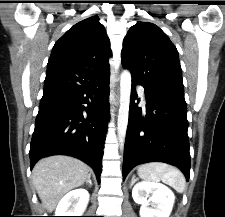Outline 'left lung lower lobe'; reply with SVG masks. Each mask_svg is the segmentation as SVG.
Listing matches in <instances>:
<instances>
[{"label":"left lung lower lobe","mask_w":225,"mask_h":217,"mask_svg":"<svg viewBox=\"0 0 225 217\" xmlns=\"http://www.w3.org/2000/svg\"><path fill=\"white\" fill-rule=\"evenodd\" d=\"M136 84L132 81L123 179L138 164L160 161L177 166L188 180L190 153L184 95L145 89L144 110L135 103Z\"/></svg>","instance_id":"0a47b994"}]
</instances>
